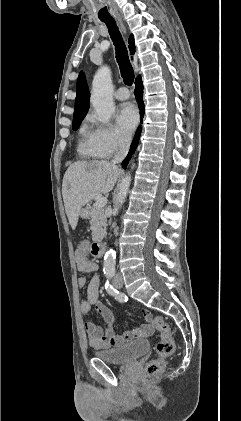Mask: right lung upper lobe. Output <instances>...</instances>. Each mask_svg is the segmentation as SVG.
Here are the masks:
<instances>
[{
	"mask_svg": "<svg viewBox=\"0 0 241 421\" xmlns=\"http://www.w3.org/2000/svg\"><path fill=\"white\" fill-rule=\"evenodd\" d=\"M129 50L131 51V54L135 52L133 35L129 38ZM89 106V90L84 74L81 72L77 80L75 111L73 118L85 116L88 112Z\"/></svg>",
	"mask_w": 241,
	"mask_h": 421,
	"instance_id": "1",
	"label": "right lung upper lobe"
}]
</instances>
